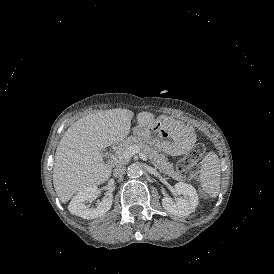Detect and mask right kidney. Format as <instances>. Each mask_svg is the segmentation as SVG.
<instances>
[{
  "instance_id": "1",
  "label": "right kidney",
  "mask_w": 274,
  "mask_h": 274,
  "mask_svg": "<svg viewBox=\"0 0 274 274\" xmlns=\"http://www.w3.org/2000/svg\"><path fill=\"white\" fill-rule=\"evenodd\" d=\"M97 187L89 186L82 189L70 202L68 209L71 214L79 216L85 220L95 219L106 214L113 204V197L107 196L97 203L96 208H89L84 205L85 201L97 195Z\"/></svg>"
}]
</instances>
